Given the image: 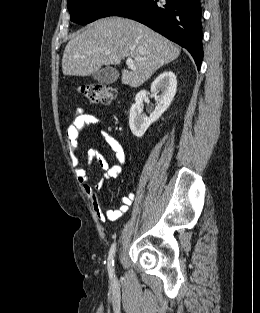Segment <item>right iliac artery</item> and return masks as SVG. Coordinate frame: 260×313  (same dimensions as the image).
I'll list each match as a JSON object with an SVG mask.
<instances>
[{"instance_id":"obj_1","label":"right iliac artery","mask_w":260,"mask_h":313,"mask_svg":"<svg viewBox=\"0 0 260 313\" xmlns=\"http://www.w3.org/2000/svg\"><path fill=\"white\" fill-rule=\"evenodd\" d=\"M115 250H116V243H113L110 251H109V255H108V273H109V277L112 279L114 276V255H115Z\"/></svg>"}]
</instances>
